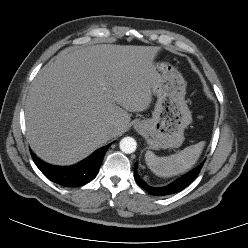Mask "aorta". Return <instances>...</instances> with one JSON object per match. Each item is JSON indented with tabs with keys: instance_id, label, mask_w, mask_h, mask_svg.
I'll use <instances>...</instances> for the list:
<instances>
[{
	"instance_id": "1",
	"label": "aorta",
	"mask_w": 248,
	"mask_h": 248,
	"mask_svg": "<svg viewBox=\"0 0 248 248\" xmlns=\"http://www.w3.org/2000/svg\"><path fill=\"white\" fill-rule=\"evenodd\" d=\"M120 150L126 154L135 152L137 143L132 137H124L120 141Z\"/></svg>"
}]
</instances>
